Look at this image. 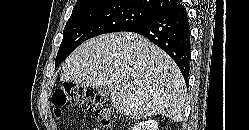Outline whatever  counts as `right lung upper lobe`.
I'll list each match as a JSON object with an SVG mask.
<instances>
[{
	"label": "right lung upper lobe",
	"mask_w": 249,
	"mask_h": 130,
	"mask_svg": "<svg viewBox=\"0 0 249 130\" xmlns=\"http://www.w3.org/2000/svg\"><path fill=\"white\" fill-rule=\"evenodd\" d=\"M97 1H105V0H78L76 2L75 7H79L81 5H85L88 3H93ZM120 3H129L140 8L153 11L157 14L166 11L177 3V0H113ZM74 7V8H75Z\"/></svg>",
	"instance_id": "obj_1"
}]
</instances>
